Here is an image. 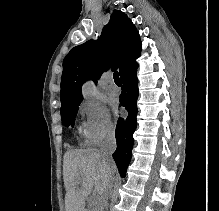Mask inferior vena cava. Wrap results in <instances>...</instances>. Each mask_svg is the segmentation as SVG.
Here are the masks:
<instances>
[{
	"label": "inferior vena cava",
	"mask_w": 219,
	"mask_h": 211,
	"mask_svg": "<svg viewBox=\"0 0 219 211\" xmlns=\"http://www.w3.org/2000/svg\"><path fill=\"white\" fill-rule=\"evenodd\" d=\"M116 149V139L113 133H107L105 137H103V141L100 145V151L103 159L106 161L103 162L104 171H108V175H116L115 177L118 179L121 175V170H117V161H113L112 153ZM114 179L113 181L116 183L118 180ZM113 188L116 186L114 183L111 185Z\"/></svg>",
	"instance_id": "1"
}]
</instances>
